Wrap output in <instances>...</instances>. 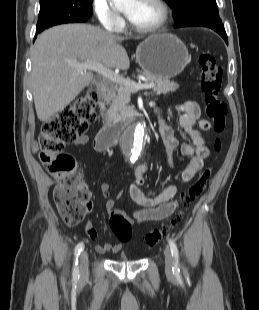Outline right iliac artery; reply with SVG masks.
<instances>
[{"instance_id": "82829eb1", "label": "right iliac artery", "mask_w": 259, "mask_h": 310, "mask_svg": "<svg viewBox=\"0 0 259 310\" xmlns=\"http://www.w3.org/2000/svg\"><path fill=\"white\" fill-rule=\"evenodd\" d=\"M132 162L134 163V160H132ZM83 242H80L76 247H75V251H74V257H75V265L73 267V280L77 281L79 279V269H78V257L83 249Z\"/></svg>"}]
</instances>
